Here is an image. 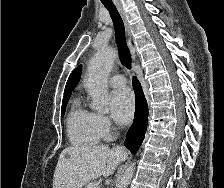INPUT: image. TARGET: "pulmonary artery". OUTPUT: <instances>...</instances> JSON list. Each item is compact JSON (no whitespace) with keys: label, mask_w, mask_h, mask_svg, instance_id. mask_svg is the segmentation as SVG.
Here are the masks:
<instances>
[{"label":"pulmonary artery","mask_w":224,"mask_h":188,"mask_svg":"<svg viewBox=\"0 0 224 188\" xmlns=\"http://www.w3.org/2000/svg\"><path fill=\"white\" fill-rule=\"evenodd\" d=\"M126 82V78L121 74L114 75L109 79V84L113 87H123Z\"/></svg>","instance_id":"pulmonary-artery-1"}]
</instances>
